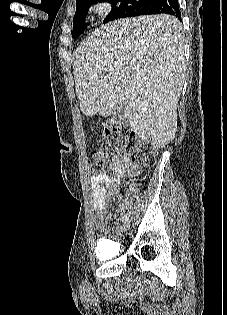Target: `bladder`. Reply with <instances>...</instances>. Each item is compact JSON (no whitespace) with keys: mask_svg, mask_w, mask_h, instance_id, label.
<instances>
[{"mask_svg":"<svg viewBox=\"0 0 227 315\" xmlns=\"http://www.w3.org/2000/svg\"><path fill=\"white\" fill-rule=\"evenodd\" d=\"M112 246L104 241L97 244L95 255L100 259H108L111 257L113 251Z\"/></svg>","mask_w":227,"mask_h":315,"instance_id":"1","label":"bladder"}]
</instances>
